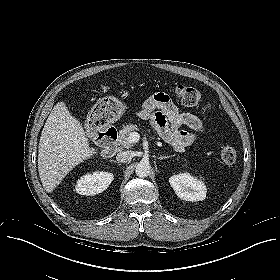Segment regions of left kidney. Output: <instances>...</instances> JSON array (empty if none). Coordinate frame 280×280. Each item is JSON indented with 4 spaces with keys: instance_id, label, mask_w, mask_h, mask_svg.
<instances>
[{
    "instance_id": "left-kidney-1",
    "label": "left kidney",
    "mask_w": 280,
    "mask_h": 280,
    "mask_svg": "<svg viewBox=\"0 0 280 280\" xmlns=\"http://www.w3.org/2000/svg\"><path fill=\"white\" fill-rule=\"evenodd\" d=\"M169 183L176 195L186 201H202L206 198V186L201 179L189 173L173 175Z\"/></svg>"
}]
</instances>
